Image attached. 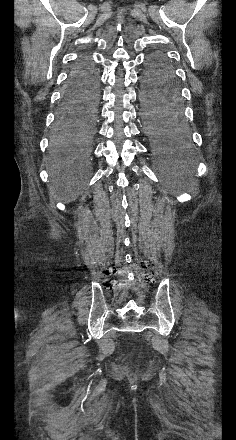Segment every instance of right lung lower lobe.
<instances>
[{"mask_svg": "<svg viewBox=\"0 0 236 440\" xmlns=\"http://www.w3.org/2000/svg\"><path fill=\"white\" fill-rule=\"evenodd\" d=\"M98 82V72L92 61L83 58L75 66L67 83L63 103L58 111L56 130H69L77 126L81 120V108L84 100L81 98V89L88 82Z\"/></svg>", "mask_w": 236, "mask_h": 440, "instance_id": "obj_1", "label": "right lung lower lobe"}]
</instances>
